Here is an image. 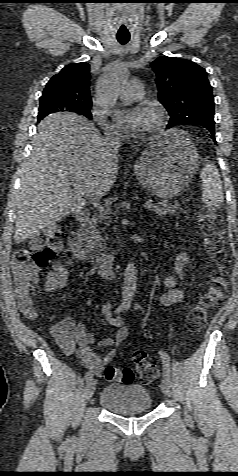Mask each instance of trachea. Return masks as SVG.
Masks as SVG:
<instances>
[{
    "instance_id": "1",
    "label": "trachea",
    "mask_w": 238,
    "mask_h": 476,
    "mask_svg": "<svg viewBox=\"0 0 238 476\" xmlns=\"http://www.w3.org/2000/svg\"><path fill=\"white\" fill-rule=\"evenodd\" d=\"M117 40L121 45H125L129 42L130 36L129 35H127V36H117Z\"/></svg>"
}]
</instances>
